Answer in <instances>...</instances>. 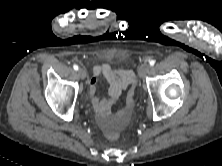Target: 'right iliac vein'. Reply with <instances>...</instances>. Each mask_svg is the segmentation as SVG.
I'll return each mask as SVG.
<instances>
[{
    "label": "right iliac vein",
    "instance_id": "right-iliac-vein-1",
    "mask_svg": "<svg viewBox=\"0 0 222 166\" xmlns=\"http://www.w3.org/2000/svg\"><path fill=\"white\" fill-rule=\"evenodd\" d=\"M86 75H87V73H86L85 69L80 68V69L78 70V76H79L81 79H85V78H86Z\"/></svg>",
    "mask_w": 222,
    "mask_h": 166
}]
</instances>
